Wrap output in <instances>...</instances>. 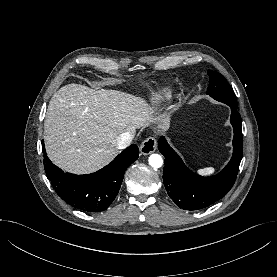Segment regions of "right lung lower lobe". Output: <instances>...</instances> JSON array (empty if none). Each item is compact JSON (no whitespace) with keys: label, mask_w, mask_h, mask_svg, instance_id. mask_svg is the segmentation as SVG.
I'll list each match as a JSON object with an SVG mask.
<instances>
[{"label":"right lung lower lobe","mask_w":277,"mask_h":277,"mask_svg":"<svg viewBox=\"0 0 277 277\" xmlns=\"http://www.w3.org/2000/svg\"><path fill=\"white\" fill-rule=\"evenodd\" d=\"M44 168L58 195L70 206L84 212H100L114 201L125 170L138 158V147L133 144L109 165L88 175L64 173L47 157L44 143Z\"/></svg>","instance_id":"obj_1"}]
</instances>
